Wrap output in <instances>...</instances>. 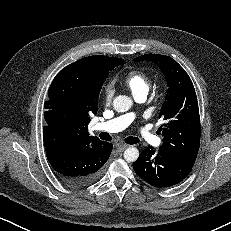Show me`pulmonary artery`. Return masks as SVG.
<instances>
[{
	"label": "pulmonary artery",
	"mask_w": 231,
	"mask_h": 231,
	"mask_svg": "<svg viewBox=\"0 0 231 231\" xmlns=\"http://www.w3.org/2000/svg\"><path fill=\"white\" fill-rule=\"evenodd\" d=\"M147 94H140L134 97L135 101L142 103L146 100ZM135 114L133 112L123 114L109 121L97 123L94 126L95 130L107 131L110 133H115L126 129L134 120ZM139 134L141 139L145 140L147 143L152 145H158L160 139L148 128L141 127L139 129Z\"/></svg>",
	"instance_id": "e3ab8cb5"
}]
</instances>
